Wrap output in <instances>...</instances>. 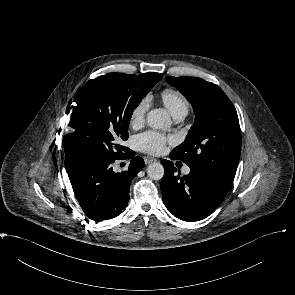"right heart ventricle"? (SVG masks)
<instances>
[{"label":"right heart ventricle","mask_w":295,"mask_h":295,"mask_svg":"<svg viewBox=\"0 0 295 295\" xmlns=\"http://www.w3.org/2000/svg\"><path fill=\"white\" fill-rule=\"evenodd\" d=\"M160 100L175 119L184 118L190 108L186 96L174 88H166L160 94Z\"/></svg>","instance_id":"e07e8e85"}]
</instances>
